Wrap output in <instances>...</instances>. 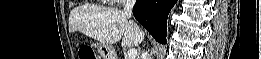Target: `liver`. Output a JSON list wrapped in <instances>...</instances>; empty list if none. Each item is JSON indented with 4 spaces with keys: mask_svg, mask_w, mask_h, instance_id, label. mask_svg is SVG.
<instances>
[{
    "mask_svg": "<svg viewBox=\"0 0 261 59\" xmlns=\"http://www.w3.org/2000/svg\"><path fill=\"white\" fill-rule=\"evenodd\" d=\"M69 31H79L107 46L122 39L123 47H133L144 39L139 26L116 8L75 9L69 17Z\"/></svg>",
    "mask_w": 261,
    "mask_h": 59,
    "instance_id": "6515ba94",
    "label": "liver"
}]
</instances>
